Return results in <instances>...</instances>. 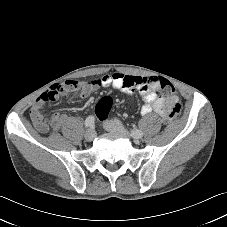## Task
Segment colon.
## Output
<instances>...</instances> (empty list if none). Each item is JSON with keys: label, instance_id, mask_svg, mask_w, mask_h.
Masks as SVG:
<instances>
[{"label": "colon", "instance_id": "colon-1", "mask_svg": "<svg viewBox=\"0 0 227 227\" xmlns=\"http://www.w3.org/2000/svg\"><path fill=\"white\" fill-rule=\"evenodd\" d=\"M158 85L160 90L166 95L172 94L175 91L173 85L164 78H160L158 80ZM111 107H112V99L109 96L102 97L96 106V113L98 118L99 119L106 118Z\"/></svg>", "mask_w": 227, "mask_h": 227}]
</instances>
